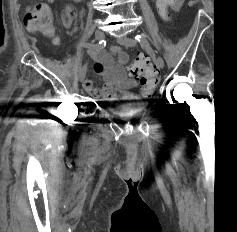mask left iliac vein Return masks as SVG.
<instances>
[{
	"label": "left iliac vein",
	"instance_id": "left-iliac-vein-1",
	"mask_svg": "<svg viewBox=\"0 0 237 232\" xmlns=\"http://www.w3.org/2000/svg\"><path fill=\"white\" fill-rule=\"evenodd\" d=\"M116 41L125 47H134L136 44V42L134 40H132L131 38L126 37V36L119 37L116 39ZM157 62H158V65L160 68L164 67V60L161 57H158Z\"/></svg>",
	"mask_w": 237,
	"mask_h": 232
}]
</instances>
